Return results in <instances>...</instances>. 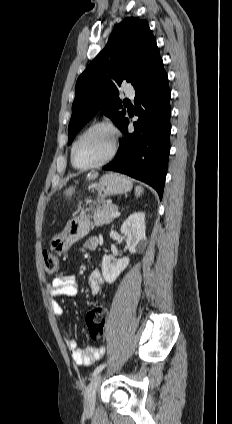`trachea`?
<instances>
[{
  "instance_id": "1",
  "label": "trachea",
  "mask_w": 232,
  "mask_h": 424,
  "mask_svg": "<svg viewBox=\"0 0 232 424\" xmlns=\"http://www.w3.org/2000/svg\"><path fill=\"white\" fill-rule=\"evenodd\" d=\"M124 103L125 104H128V103H130V101L129 100H124Z\"/></svg>"
}]
</instances>
